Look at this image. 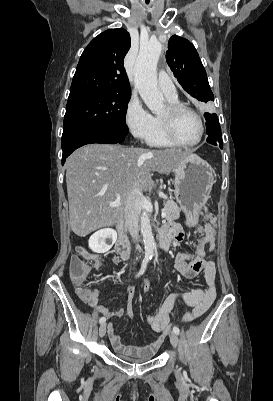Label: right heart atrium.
I'll return each instance as SVG.
<instances>
[{"label": "right heart atrium", "mask_w": 273, "mask_h": 401, "mask_svg": "<svg viewBox=\"0 0 273 401\" xmlns=\"http://www.w3.org/2000/svg\"><path fill=\"white\" fill-rule=\"evenodd\" d=\"M125 121L136 139L145 140L153 129L154 116L138 97H131L127 104Z\"/></svg>", "instance_id": "obj_1"}]
</instances>
